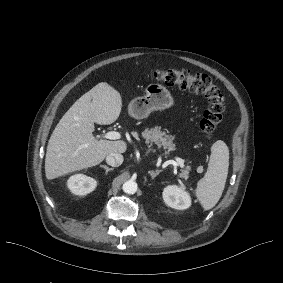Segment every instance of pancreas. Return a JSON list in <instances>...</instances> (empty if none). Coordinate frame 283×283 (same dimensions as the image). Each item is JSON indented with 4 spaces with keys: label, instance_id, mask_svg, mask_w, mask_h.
Listing matches in <instances>:
<instances>
[{
    "label": "pancreas",
    "instance_id": "cf45deb5",
    "mask_svg": "<svg viewBox=\"0 0 283 283\" xmlns=\"http://www.w3.org/2000/svg\"><path fill=\"white\" fill-rule=\"evenodd\" d=\"M142 137L145 139V143L147 144L155 143L156 145H161L168 151L177 150L176 143L173 142V136L166 135L165 131H161L160 128L145 127L142 132ZM191 169V165H187V167L181 172L183 177L187 178Z\"/></svg>",
    "mask_w": 283,
    "mask_h": 283
}]
</instances>
